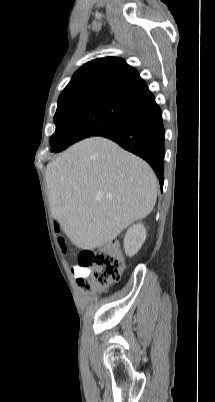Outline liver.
I'll use <instances>...</instances> for the list:
<instances>
[{"instance_id": "6515ba94", "label": "liver", "mask_w": 215, "mask_h": 402, "mask_svg": "<svg viewBox=\"0 0 215 402\" xmlns=\"http://www.w3.org/2000/svg\"><path fill=\"white\" fill-rule=\"evenodd\" d=\"M45 179L53 217L82 250L113 241L149 215L157 199L152 168L103 137L69 147L47 164Z\"/></svg>"}]
</instances>
